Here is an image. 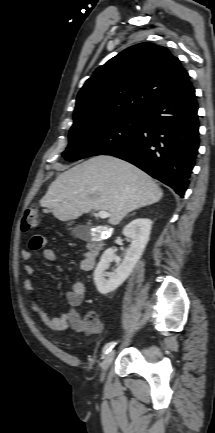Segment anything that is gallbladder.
<instances>
[{
	"mask_svg": "<svg viewBox=\"0 0 215 433\" xmlns=\"http://www.w3.org/2000/svg\"><path fill=\"white\" fill-rule=\"evenodd\" d=\"M71 232L74 236L80 239H88L90 234V228L86 225H78L71 229Z\"/></svg>",
	"mask_w": 215,
	"mask_h": 433,
	"instance_id": "gallbladder-1",
	"label": "gallbladder"
}]
</instances>
